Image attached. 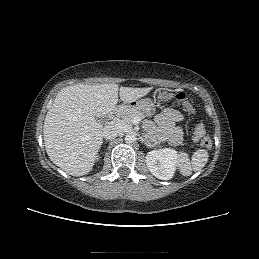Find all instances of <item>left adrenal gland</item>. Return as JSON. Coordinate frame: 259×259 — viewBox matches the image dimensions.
<instances>
[{
  "label": "left adrenal gland",
  "mask_w": 259,
  "mask_h": 259,
  "mask_svg": "<svg viewBox=\"0 0 259 259\" xmlns=\"http://www.w3.org/2000/svg\"><path fill=\"white\" fill-rule=\"evenodd\" d=\"M141 142L144 143L147 147H151L152 146L151 143L148 140L144 139V138L141 140Z\"/></svg>",
  "instance_id": "obj_1"
}]
</instances>
